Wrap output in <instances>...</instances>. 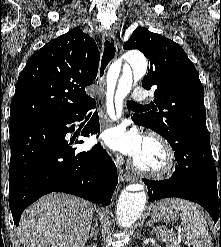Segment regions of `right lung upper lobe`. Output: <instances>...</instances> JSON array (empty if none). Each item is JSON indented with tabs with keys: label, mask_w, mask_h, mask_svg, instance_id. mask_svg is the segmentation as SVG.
I'll return each instance as SVG.
<instances>
[{
	"label": "right lung upper lobe",
	"mask_w": 221,
	"mask_h": 247,
	"mask_svg": "<svg viewBox=\"0 0 221 247\" xmlns=\"http://www.w3.org/2000/svg\"><path fill=\"white\" fill-rule=\"evenodd\" d=\"M100 53L95 41L74 28L35 52L18 78L10 125L66 119L93 99L85 92L96 79Z\"/></svg>",
	"instance_id": "right-lung-upper-lobe-1"
}]
</instances>
